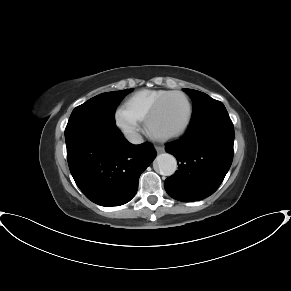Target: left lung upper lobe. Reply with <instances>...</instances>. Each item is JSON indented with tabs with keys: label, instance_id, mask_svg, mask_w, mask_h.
Instances as JSON below:
<instances>
[{
	"label": "left lung upper lobe",
	"instance_id": "left-lung-upper-lobe-1",
	"mask_svg": "<svg viewBox=\"0 0 291 291\" xmlns=\"http://www.w3.org/2000/svg\"><path fill=\"white\" fill-rule=\"evenodd\" d=\"M192 99L193 102V116L191 124L204 119L215 112L224 110L225 106L220 101H217L207 94L191 89H183Z\"/></svg>",
	"mask_w": 291,
	"mask_h": 291
}]
</instances>
